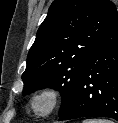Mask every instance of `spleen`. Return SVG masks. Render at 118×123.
<instances>
[{
    "label": "spleen",
    "mask_w": 118,
    "mask_h": 123,
    "mask_svg": "<svg viewBox=\"0 0 118 123\" xmlns=\"http://www.w3.org/2000/svg\"><path fill=\"white\" fill-rule=\"evenodd\" d=\"M83 123H113V122L105 119H86L83 121Z\"/></svg>",
    "instance_id": "1"
}]
</instances>
